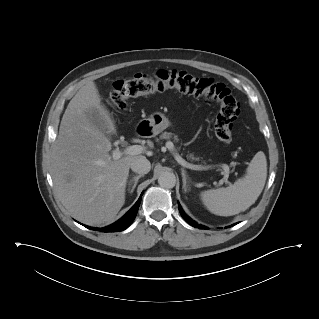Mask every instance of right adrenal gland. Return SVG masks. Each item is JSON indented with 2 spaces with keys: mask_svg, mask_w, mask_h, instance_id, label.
Listing matches in <instances>:
<instances>
[{
  "mask_svg": "<svg viewBox=\"0 0 319 319\" xmlns=\"http://www.w3.org/2000/svg\"><path fill=\"white\" fill-rule=\"evenodd\" d=\"M143 176H144L143 174H140V175L134 176V177H132V179H130V181H129V183H128V185H129V190H130V186L132 185V183H134L133 186H132V188H131V190H130V193H133V191H134V189L136 188V185H137V183H138V180H139L141 177H143Z\"/></svg>",
  "mask_w": 319,
  "mask_h": 319,
  "instance_id": "1",
  "label": "right adrenal gland"
}]
</instances>
